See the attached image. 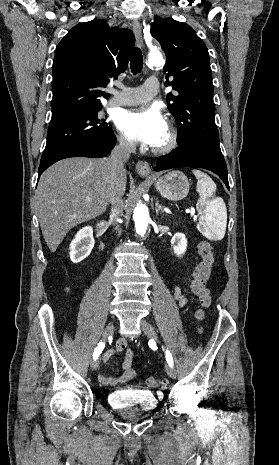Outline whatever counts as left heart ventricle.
Listing matches in <instances>:
<instances>
[{
	"mask_svg": "<svg viewBox=\"0 0 279 465\" xmlns=\"http://www.w3.org/2000/svg\"><path fill=\"white\" fill-rule=\"evenodd\" d=\"M168 137H169V129L168 127H166V129L164 130V132L162 133V135L160 136L159 140L156 142L154 147H159V146L164 145L167 142Z\"/></svg>",
	"mask_w": 279,
	"mask_h": 465,
	"instance_id": "1",
	"label": "left heart ventricle"
}]
</instances>
